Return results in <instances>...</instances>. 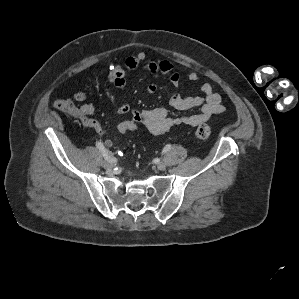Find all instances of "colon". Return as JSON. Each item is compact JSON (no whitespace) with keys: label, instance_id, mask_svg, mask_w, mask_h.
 Wrapping results in <instances>:
<instances>
[{"label":"colon","instance_id":"1","mask_svg":"<svg viewBox=\"0 0 299 299\" xmlns=\"http://www.w3.org/2000/svg\"><path fill=\"white\" fill-rule=\"evenodd\" d=\"M54 106L57 110L68 116L79 118L85 125L90 121V119L82 112L81 107L75 105L72 100L58 99L54 102ZM139 128L140 125L138 122L133 118H129L118 123L117 132L120 135H128L138 131ZM211 133V128L208 125L201 124L195 130L194 137L199 140H206L210 138Z\"/></svg>","mask_w":299,"mask_h":299}]
</instances>
